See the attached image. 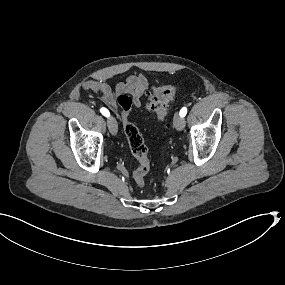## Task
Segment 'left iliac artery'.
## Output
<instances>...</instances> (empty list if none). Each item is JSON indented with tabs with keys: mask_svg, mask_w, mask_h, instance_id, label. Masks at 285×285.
Returning <instances> with one entry per match:
<instances>
[{
	"mask_svg": "<svg viewBox=\"0 0 285 285\" xmlns=\"http://www.w3.org/2000/svg\"><path fill=\"white\" fill-rule=\"evenodd\" d=\"M186 114H187V108H186V107H183V108L180 110V116H181V117H184Z\"/></svg>",
	"mask_w": 285,
	"mask_h": 285,
	"instance_id": "obj_1",
	"label": "left iliac artery"
}]
</instances>
